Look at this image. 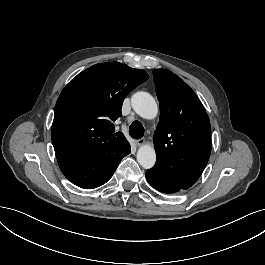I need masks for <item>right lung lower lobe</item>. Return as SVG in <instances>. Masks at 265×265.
I'll return each instance as SVG.
<instances>
[{
	"label": "right lung lower lobe",
	"instance_id": "1",
	"mask_svg": "<svg viewBox=\"0 0 265 265\" xmlns=\"http://www.w3.org/2000/svg\"><path fill=\"white\" fill-rule=\"evenodd\" d=\"M129 153L130 144L126 141L100 151H59L56 158L68 180L81 188L93 189L106 183Z\"/></svg>",
	"mask_w": 265,
	"mask_h": 265
}]
</instances>
